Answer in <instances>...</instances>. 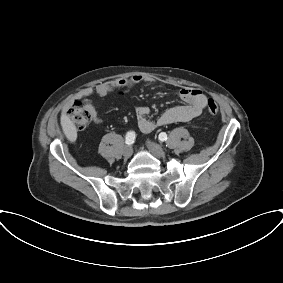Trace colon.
<instances>
[{"mask_svg": "<svg viewBox=\"0 0 283 283\" xmlns=\"http://www.w3.org/2000/svg\"><path fill=\"white\" fill-rule=\"evenodd\" d=\"M207 110L211 115H216L218 113L219 108L214 100H208ZM65 117L66 120L78 130L85 129L93 119L91 108L83 102H75L71 105L67 109Z\"/></svg>", "mask_w": 283, "mask_h": 283, "instance_id": "colon-1", "label": "colon"}]
</instances>
